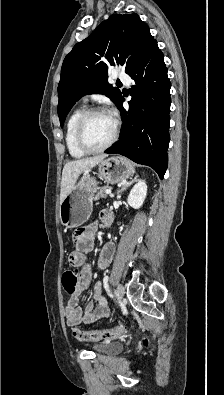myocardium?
<instances>
[{
    "instance_id": "myocardium-1",
    "label": "myocardium",
    "mask_w": 224,
    "mask_h": 395,
    "mask_svg": "<svg viewBox=\"0 0 224 395\" xmlns=\"http://www.w3.org/2000/svg\"><path fill=\"white\" fill-rule=\"evenodd\" d=\"M96 114L110 115L105 109L100 108V107H93V108L87 109L80 117V119L77 123V127H76L77 144L85 153H88V154H95V153H100V152L105 151L106 149L111 147L116 142L118 135H119L120 123L116 118H114L113 116L110 115L114 121V130H113L111 138L101 147H97V148L91 147L85 140V126H86L88 120L90 119V117H92L93 115H96Z\"/></svg>"
}]
</instances>
